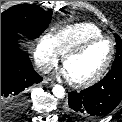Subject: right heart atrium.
<instances>
[{"instance_id":"d8ad5b80","label":"right heart atrium","mask_w":122,"mask_h":122,"mask_svg":"<svg viewBox=\"0 0 122 122\" xmlns=\"http://www.w3.org/2000/svg\"><path fill=\"white\" fill-rule=\"evenodd\" d=\"M59 52L50 34L41 36L34 50V59L37 67L42 71H48L59 59Z\"/></svg>"}]
</instances>
